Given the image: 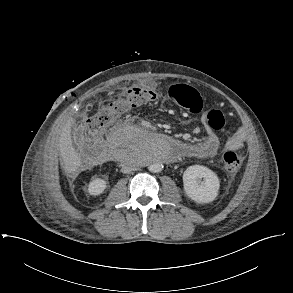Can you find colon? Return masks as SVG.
Returning a JSON list of instances; mask_svg holds the SVG:
<instances>
[{"mask_svg":"<svg viewBox=\"0 0 293 293\" xmlns=\"http://www.w3.org/2000/svg\"><path fill=\"white\" fill-rule=\"evenodd\" d=\"M172 100L179 106L190 112L197 113L202 110L203 102L198 91L187 85H176L171 90ZM154 99V93L148 88L136 86L129 88L125 94L101 107L86 121L87 133L91 136L98 135L121 115L133 108L150 103ZM205 121L209 128L221 131L226 125V114L220 109H211L205 115ZM225 169L236 172L242 163L241 156L232 150L223 154Z\"/></svg>","mask_w":293,"mask_h":293,"instance_id":"5ec220e1","label":"colon"}]
</instances>
